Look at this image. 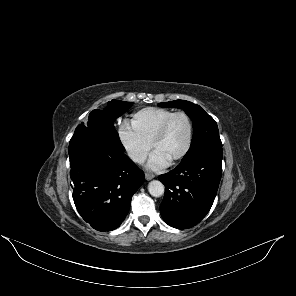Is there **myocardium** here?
I'll use <instances>...</instances> for the list:
<instances>
[{
    "label": "myocardium",
    "instance_id": "obj_1",
    "mask_svg": "<svg viewBox=\"0 0 296 296\" xmlns=\"http://www.w3.org/2000/svg\"><path fill=\"white\" fill-rule=\"evenodd\" d=\"M177 116H183L185 117V119L187 120L188 123V139H187V143L183 149V151L173 160L169 163L170 166H174L176 164H178L179 162H181L189 153L191 146H192V142H193V136H194V124H193V120L191 118V116L185 112V111H176L173 112L171 115H169L160 125L158 131L156 132L152 142H151V149L154 151L155 146L162 140V138L164 137L167 128L169 126V124L171 123V121L177 117Z\"/></svg>",
    "mask_w": 296,
    "mask_h": 296
}]
</instances>
